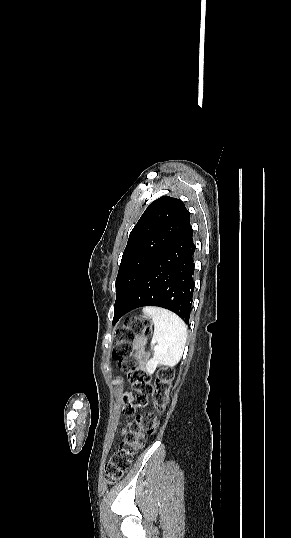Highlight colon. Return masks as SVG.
I'll return each mask as SVG.
<instances>
[{
  "label": "colon",
  "mask_w": 291,
  "mask_h": 538,
  "mask_svg": "<svg viewBox=\"0 0 291 538\" xmlns=\"http://www.w3.org/2000/svg\"><path fill=\"white\" fill-rule=\"evenodd\" d=\"M151 322L145 317H132L126 320L124 328L119 331L120 341L116 345L113 356L117 359L120 369L125 372L131 382V391L123 396V411L134 415L137 408L147 407L149 397L152 398L155 411L136 415L135 420L120 443L119 449L113 454L105 466V476L109 482H116L129 470L136 451L140 434H155L159 427L158 414L163 411L169 401V391L174 372L171 369L159 370L154 385L141 367V359L134 355L130 342L136 333H149Z\"/></svg>",
  "instance_id": "1"
}]
</instances>
